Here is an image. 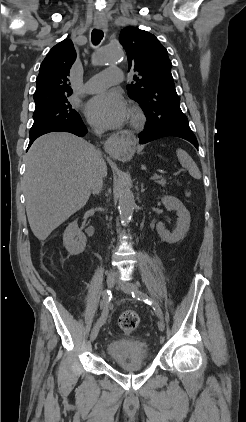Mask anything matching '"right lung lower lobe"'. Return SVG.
<instances>
[{"label":"right lung lower lobe","mask_w":246,"mask_h":422,"mask_svg":"<svg viewBox=\"0 0 246 422\" xmlns=\"http://www.w3.org/2000/svg\"><path fill=\"white\" fill-rule=\"evenodd\" d=\"M57 131L58 132H70V133H73L77 136L82 137L87 133V128L83 124L82 120H80L78 123L73 124V125H59V126H54V127L48 128V129L41 131L39 133L30 135V142H29L28 148L35 141V139H37L39 136L44 135L46 133L57 132Z\"/></svg>","instance_id":"right-lung-lower-lobe-1"}]
</instances>
